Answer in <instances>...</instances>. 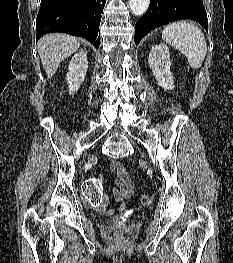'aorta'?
Returning a JSON list of instances; mask_svg holds the SVG:
<instances>
[{"mask_svg":"<svg viewBox=\"0 0 233 263\" xmlns=\"http://www.w3.org/2000/svg\"><path fill=\"white\" fill-rule=\"evenodd\" d=\"M150 0H129L132 13L136 16L143 15L149 6Z\"/></svg>","mask_w":233,"mask_h":263,"instance_id":"1","label":"aorta"}]
</instances>
